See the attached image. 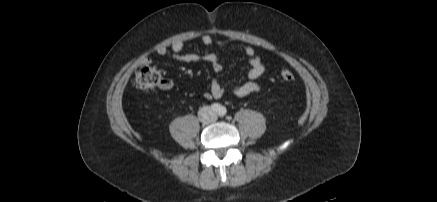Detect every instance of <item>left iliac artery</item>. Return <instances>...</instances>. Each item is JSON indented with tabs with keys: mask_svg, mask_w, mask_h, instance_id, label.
Listing matches in <instances>:
<instances>
[{
	"mask_svg": "<svg viewBox=\"0 0 437 202\" xmlns=\"http://www.w3.org/2000/svg\"><path fill=\"white\" fill-rule=\"evenodd\" d=\"M226 112H227L226 108L225 107H221L220 110H219V115L220 116H224L226 114Z\"/></svg>",
	"mask_w": 437,
	"mask_h": 202,
	"instance_id": "left-iliac-artery-1",
	"label": "left iliac artery"
}]
</instances>
